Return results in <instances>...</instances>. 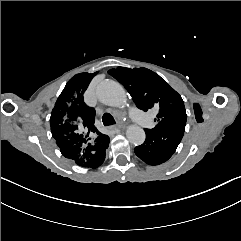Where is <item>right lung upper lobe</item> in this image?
Masks as SVG:
<instances>
[{
    "instance_id": "cb5924a9",
    "label": "right lung upper lobe",
    "mask_w": 241,
    "mask_h": 241,
    "mask_svg": "<svg viewBox=\"0 0 241 241\" xmlns=\"http://www.w3.org/2000/svg\"><path fill=\"white\" fill-rule=\"evenodd\" d=\"M97 74L80 73L72 77L55 103L50 117L53 138L62 155L82 165L107 139L94 125L95 110L83 101V94Z\"/></svg>"
}]
</instances>
